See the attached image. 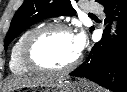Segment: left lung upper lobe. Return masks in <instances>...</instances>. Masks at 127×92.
Returning a JSON list of instances; mask_svg holds the SVG:
<instances>
[{
	"label": "left lung upper lobe",
	"instance_id": "left-lung-upper-lobe-1",
	"mask_svg": "<svg viewBox=\"0 0 127 92\" xmlns=\"http://www.w3.org/2000/svg\"><path fill=\"white\" fill-rule=\"evenodd\" d=\"M96 1L105 6L113 0ZM75 13L70 0H24L11 21L5 39V50L13 39L32 24L45 18L63 15L73 16Z\"/></svg>",
	"mask_w": 127,
	"mask_h": 92
}]
</instances>
